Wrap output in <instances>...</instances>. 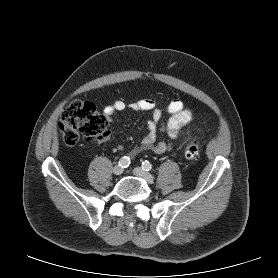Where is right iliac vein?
Wrapping results in <instances>:
<instances>
[{
  "mask_svg": "<svg viewBox=\"0 0 278 278\" xmlns=\"http://www.w3.org/2000/svg\"><path fill=\"white\" fill-rule=\"evenodd\" d=\"M113 173L115 175H121L123 173V168L119 165H116L114 168H113Z\"/></svg>",
  "mask_w": 278,
  "mask_h": 278,
  "instance_id": "1",
  "label": "right iliac vein"
}]
</instances>
